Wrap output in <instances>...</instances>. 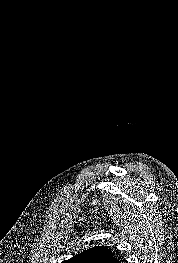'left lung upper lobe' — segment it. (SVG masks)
I'll use <instances>...</instances> for the list:
<instances>
[{
  "label": "left lung upper lobe",
  "instance_id": "left-lung-upper-lobe-1",
  "mask_svg": "<svg viewBox=\"0 0 178 263\" xmlns=\"http://www.w3.org/2000/svg\"><path fill=\"white\" fill-rule=\"evenodd\" d=\"M115 258L107 246H95L62 263H111Z\"/></svg>",
  "mask_w": 178,
  "mask_h": 263
}]
</instances>
